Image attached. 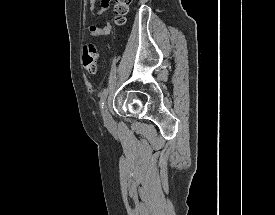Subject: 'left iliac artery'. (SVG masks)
<instances>
[{"instance_id": "1", "label": "left iliac artery", "mask_w": 275, "mask_h": 215, "mask_svg": "<svg viewBox=\"0 0 275 215\" xmlns=\"http://www.w3.org/2000/svg\"><path fill=\"white\" fill-rule=\"evenodd\" d=\"M106 96H107V89H104L101 94H100V102H99V105H100V108L102 109L103 106H104V102H105V99H106Z\"/></svg>"}]
</instances>
